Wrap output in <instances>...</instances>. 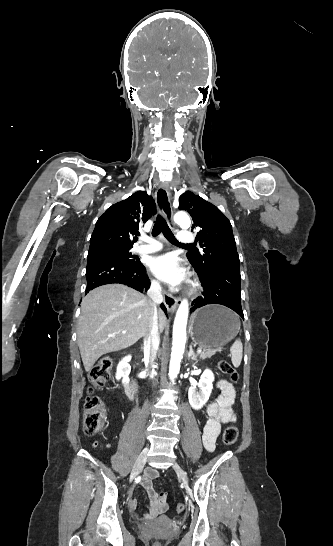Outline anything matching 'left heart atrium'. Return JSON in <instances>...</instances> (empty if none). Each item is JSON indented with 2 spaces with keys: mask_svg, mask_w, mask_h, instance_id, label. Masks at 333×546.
<instances>
[{
  "mask_svg": "<svg viewBox=\"0 0 333 546\" xmlns=\"http://www.w3.org/2000/svg\"><path fill=\"white\" fill-rule=\"evenodd\" d=\"M150 268L158 278L174 286L185 279V271L172 254L154 257L150 262Z\"/></svg>",
  "mask_w": 333,
  "mask_h": 546,
  "instance_id": "left-heart-atrium-1",
  "label": "left heart atrium"
}]
</instances>
